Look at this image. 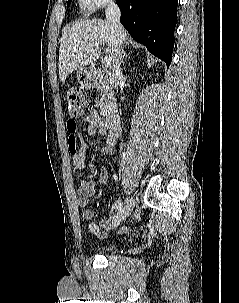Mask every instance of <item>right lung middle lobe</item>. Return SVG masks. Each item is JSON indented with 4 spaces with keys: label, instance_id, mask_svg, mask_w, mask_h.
I'll list each match as a JSON object with an SVG mask.
<instances>
[{
    "label": "right lung middle lobe",
    "instance_id": "1",
    "mask_svg": "<svg viewBox=\"0 0 239 303\" xmlns=\"http://www.w3.org/2000/svg\"><path fill=\"white\" fill-rule=\"evenodd\" d=\"M70 3H71V0H68V4H67V6H69V5H70Z\"/></svg>",
    "mask_w": 239,
    "mask_h": 303
}]
</instances>
